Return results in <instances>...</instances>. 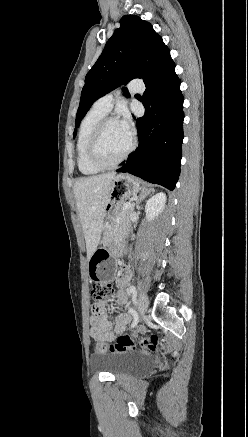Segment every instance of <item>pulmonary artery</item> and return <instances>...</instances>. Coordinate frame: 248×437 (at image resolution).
I'll return each instance as SVG.
<instances>
[{
    "instance_id": "1",
    "label": "pulmonary artery",
    "mask_w": 248,
    "mask_h": 437,
    "mask_svg": "<svg viewBox=\"0 0 248 437\" xmlns=\"http://www.w3.org/2000/svg\"><path fill=\"white\" fill-rule=\"evenodd\" d=\"M128 89L132 92H142L144 90L143 82L140 79H133L128 83ZM118 90H114L95 101L93 107L104 113H108L113 106Z\"/></svg>"
}]
</instances>
